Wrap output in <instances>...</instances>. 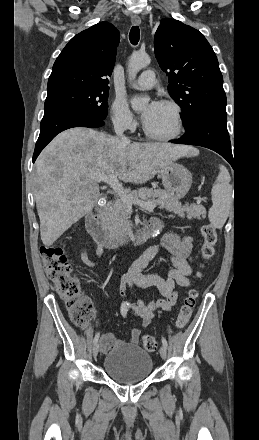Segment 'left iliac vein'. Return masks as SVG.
<instances>
[{"instance_id": "1", "label": "left iliac vein", "mask_w": 259, "mask_h": 440, "mask_svg": "<svg viewBox=\"0 0 259 440\" xmlns=\"http://www.w3.org/2000/svg\"><path fill=\"white\" fill-rule=\"evenodd\" d=\"M160 356H161V358L162 359H166V357H167V349H166V347H164V346H161V348H160Z\"/></svg>"}]
</instances>
